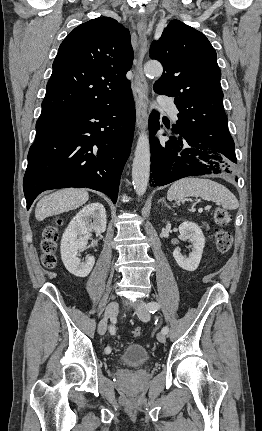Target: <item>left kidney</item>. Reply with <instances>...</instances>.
Returning a JSON list of instances; mask_svg holds the SVG:
<instances>
[{"instance_id": "5707ae66", "label": "left kidney", "mask_w": 262, "mask_h": 431, "mask_svg": "<svg viewBox=\"0 0 262 431\" xmlns=\"http://www.w3.org/2000/svg\"><path fill=\"white\" fill-rule=\"evenodd\" d=\"M179 232L192 243V252L189 256L183 255L179 248L173 251V257L177 264L184 270L194 271L198 268L205 246V237L201 228L193 222H183L179 226Z\"/></svg>"}]
</instances>
